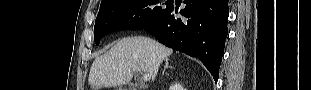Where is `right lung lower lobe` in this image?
I'll list each match as a JSON object with an SVG mask.
<instances>
[{"mask_svg":"<svg viewBox=\"0 0 311 90\" xmlns=\"http://www.w3.org/2000/svg\"><path fill=\"white\" fill-rule=\"evenodd\" d=\"M177 18L173 5L156 23L145 28L162 44L196 57L217 82L227 36L228 0H185Z\"/></svg>","mask_w":311,"mask_h":90,"instance_id":"obj_1","label":"right lung lower lobe"}]
</instances>
